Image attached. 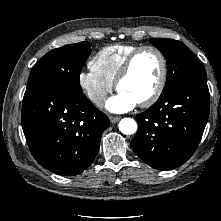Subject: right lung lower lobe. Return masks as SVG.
<instances>
[{"label": "right lung lower lobe", "instance_id": "1", "mask_svg": "<svg viewBox=\"0 0 221 221\" xmlns=\"http://www.w3.org/2000/svg\"><path fill=\"white\" fill-rule=\"evenodd\" d=\"M110 125L83 92L28 85L22 128L29 149L44 168L60 175L82 173L95 159Z\"/></svg>", "mask_w": 221, "mask_h": 221}]
</instances>
